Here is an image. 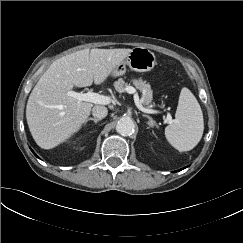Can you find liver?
<instances>
[{"instance_id":"6515ba94","label":"liver","mask_w":243,"mask_h":243,"mask_svg":"<svg viewBox=\"0 0 243 243\" xmlns=\"http://www.w3.org/2000/svg\"><path fill=\"white\" fill-rule=\"evenodd\" d=\"M132 49H83L54 61L33 88L26 119L38 146L51 149L77 132L90 115L92 103L67 95L74 86L102 84Z\"/></svg>"}]
</instances>
